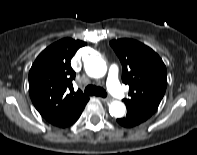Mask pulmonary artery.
I'll return each mask as SVG.
<instances>
[{
    "instance_id": "pulmonary-artery-1",
    "label": "pulmonary artery",
    "mask_w": 197,
    "mask_h": 155,
    "mask_svg": "<svg viewBox=\"0 0 197 155\" xmlns=\"http://www.w3.org/2000/svg\"><path fill=\"white\" fill-rule=\"evenodd\" d=\"M107 87L113 95L124 98L125 94L119 83V70L116 65H111L108 70Z\"/></svg>"
}]
</instances>
